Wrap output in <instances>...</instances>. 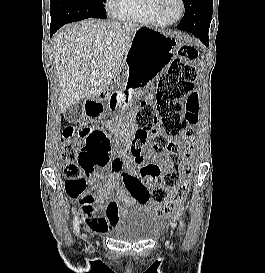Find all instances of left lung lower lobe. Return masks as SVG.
Wrapping results in <instances>:
<instances>
[{"label":"left lung lower lobe","instance_id":"1","mask_svg":"<svg viewBox=\"0 0 265 273\" xmlns=\"http://www.w3.org/2000/svg\"><path fill=\"white\" fill-rule=\"evenodd\" d=\"M213 7V0H192V4L185 9V14L177 28L191 32L203 44L208 46L209 27L206 25L205 14L208 8Z\"/></svg>","mask_w":265,"mask_h":273}]
</instances>
